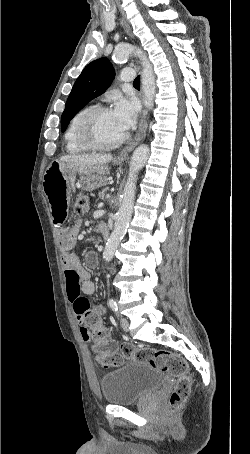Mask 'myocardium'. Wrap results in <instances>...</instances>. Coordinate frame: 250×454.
<instances>
[{"label":"myocardium","mask_w":250,"mask_h":454,"mask_svg":"<svg viewBox=\"0 0 250 454\" xmlns=\"http://www.w3.org/2000/svg\"><path fill=\"white\" fill-rule=\"evenodd\" d=\"M111 111V109L107 106H96L88 110L80 119L78 125H77V130H76V137L78 142L86 147L87 149L90 150H100V151H105V150H111L114 148H117L121 144H123L127 138L128 135L125 134L118 140L111 142V143H100L96 141L90 131V126L94 119L99 116L102 113Z\"/></svg>","instance_id":"f54148a6"}]
</instances>
